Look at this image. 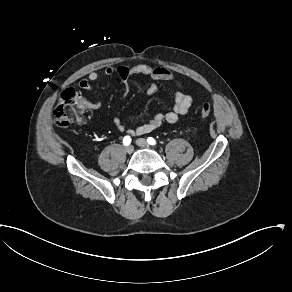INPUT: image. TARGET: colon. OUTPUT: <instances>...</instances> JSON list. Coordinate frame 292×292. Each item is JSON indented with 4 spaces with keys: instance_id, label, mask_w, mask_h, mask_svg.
Returning a JSON list of instances; mask_svg holds the SVG:
<instances>
[{
    "instance_id": "colon-1",
    "label": "colon",
    "mask_w": 292,
    "mask_h": 292,
    "mask_svg": "<svg viewBox=\"0 0 292 292\" xmlns=\"http://www.w3.org/2000/svg\"><path fill=\"white\" fill-rule=\"evenodd\" d=\"M85 111V104L81 93L75 88H66L54 109V122L59 126H68ZM212 112L210 102H204L200 108V116L207 118Z\"/></svg>"
}]
</instances>
